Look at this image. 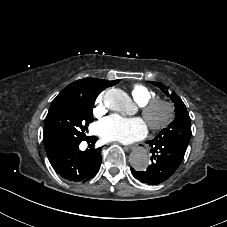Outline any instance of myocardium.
<instances>
[{
    "label": "myocardium",
    "instance_id": "1",
    "mask_svg": "<svg viewBox=\"0 0 227 227\" xmlns=\"http://www.w3.org/2000/svg\"><path fill=\"white\" fill-rule=\"evenodd\" d=\"M158 107L165 108L166 115L164 119L158 123L150 122L149 121L150 115ZM176 113L177 111L174 103L166 99L152 98L151 100H149L148 102L141 106L142 116L148 122L150 128L156 131L164 130L167 127H169L175 120Z\"/></svg>",
    "mask_w": 227,
    "mask_h": 227
}]
</instances>
